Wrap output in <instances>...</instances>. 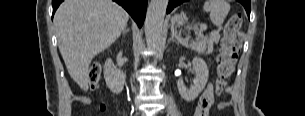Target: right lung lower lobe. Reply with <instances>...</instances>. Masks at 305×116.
Wrapping results in <instances>:
<instances>
[{
    "label": "right lung lower lobe",
    "mask_w": 305,
    "mask_h": 116,
    "mask_svg": "<svg viewBox=\"0 0 305 116\" xmlns=\"http://www.w3.org/2000/svg\"><path fill=\"white\" fill-rule=\"evenodd\" d=\"M62 1L63 0H52L53 15ZM113 1L121 5L137 22L139 27L143 25L148 0H113Z\"/></svg>",
    "instance_id": "right-lung-lower-lobe-1"
}]
</instances>
